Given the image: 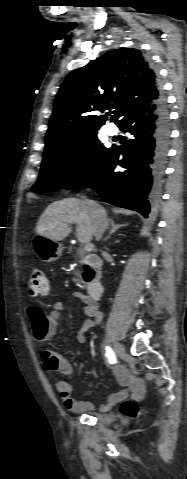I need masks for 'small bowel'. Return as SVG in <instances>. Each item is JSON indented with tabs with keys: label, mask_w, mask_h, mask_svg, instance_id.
<instances>
[{
	"label": "small bowel",
	"mask_w": 187,
	"mask_h": 479,
	"mask_svg": "<svg viewBox=\"0 0 187 479\" xmlns=\"http://www.w3.org/2000/svg\"><path fill=\"white\" fill-rule=\"evenodd\" d=\"M73 296L82 303L85 313L89 318L78 333L79 341L83 342L86 340V332L91 327L101 323L103 314L99 309L98 304L87 295L81 292H74ZM65 309L66 305L64 303H55L51 308V317L47 319L44 315L43 309L39 305L30 306L28 308V318L32 325L34 335L40 337L42 335L53 333L57 319L59 318L60 313ZM41 359L44 368L50 373H61L67 377H72L74 375L72 364L54 350H43L41 352ZM114 373L123 389L111 394L108 397L107 402L98 407V410L102 413L108 411L113 405L126 397L141 400L145 394L144 381L141 378L131 375L124 366H115ZM55 386L66 409L73 412H87L94 410V405L91 402L80 401L72 396V384L70 381L58 380Z\"/></svg>",
	"instance_id": "1"
}]
</instances>
